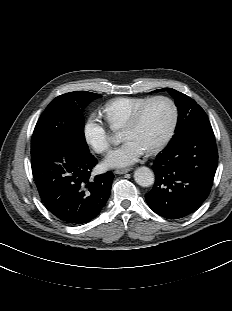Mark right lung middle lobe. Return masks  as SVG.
<instances>
[{
  "label": "right lung middle lobe",
  "instance_id": "1",
  "mask_svg": "<svg viewBox=\"0 0 232 311\" xmlns=\"http://www.w3.org/2000/svg\"><path fill=\"white\" fill-rule=\"evenodd\" d=\"M100 94L76 91L56 97L40 116L31 140V149L47 143H62L89 153L84 137L82 110Z\"/></svg>",
  "mask_w": 232,
  "mask_h": 311
}]
</instances>
